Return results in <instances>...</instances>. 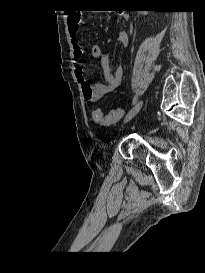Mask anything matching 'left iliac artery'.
I'll return each instance as SVG.
<instances>
[{"label":"left iliac artery","instance_id":"1","mask_svg":"<svg viewBox=\"0 0 205 273\" xmlns=\"http://www.w3.org/2000/svg\"><path fill=\"white\" fill-rule=\"evenodd\" d=\"M137 100H138V94L134 96L132 104L134 105L137 102Z\"/></svg>","mask_w":205,"mask_h":273}]
</instances>
